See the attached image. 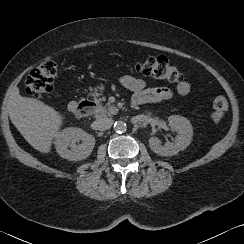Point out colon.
I'll return each mask as SVG.
<instances>
[{
  "mask_svg": "<svg viewBox=\"0 0 244 244\" xmlns=\"http://www.w3.org/2000/svg\"><path fill=\"white\" fill-rule=\"evenodd\" d=\"M133 70L150 76L157 80L180 83L183 81V75L173 62L165 57H148L145 60L136 62ZM57 64L53 61H45L39 66L33 68L27 75L25 82V91L32 97H41L43 94L52 92L53 83L57 76ZM228 110L226 98L218 96L213 100L210 119L218 124Z\"/></svg>",
  "mask_w": 244,
  "mask_h": 244,
  "instance_id": "colon-1",
  "label": "colon"
}]
</instances>
